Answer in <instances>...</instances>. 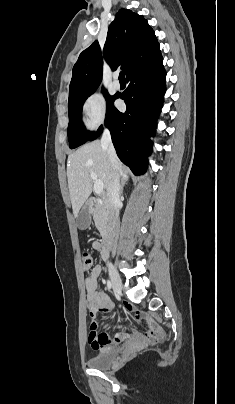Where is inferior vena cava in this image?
<instances>
[{
    "instance_id": "obj_1",
    "label": "inferior vena cava",
    "mask_w": 235,
    "mask_h": 404,
    "mask_svg": "<svg viewBox=\"0 0 235 404\" xmlns=\"http://www.w3.org/2000/svg\"><path fill=\"white\" fill-rule=\"evenodd\" d=\"M101 145L107 153L110 164L115 171L118 168L117 155L112 143L110 132L105 129L101 138ZM120 180L119 175L114 173L107 192V198L110 206L114 209L116 217L119 215L120 202Z\"/></svg>"
}]
</instances>
